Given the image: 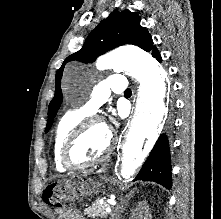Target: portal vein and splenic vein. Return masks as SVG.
Returning <instances> with one entry per match:
<instances>
[{
    "label": "portal vein and splenic vein",
    "mask_w": 221,
    "mask_h": 219,
    "mask_svg": "<svg viewBox=\"0 0 221 219\" xmlns=\"http://www.w3.org/2000/svg\"><path fill=\"white\" fill-rule=\"evenodd\" d=\"M112 204H113V203H112ZM106 211H107L108 213H110L112 210H111L110 207H107V208H106Z\"/></svg>",
    "instance_id": "18ae733b"
}]
</instances>
